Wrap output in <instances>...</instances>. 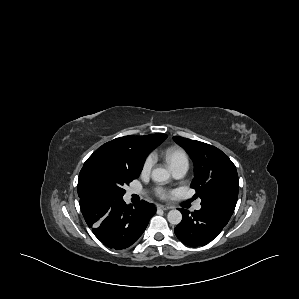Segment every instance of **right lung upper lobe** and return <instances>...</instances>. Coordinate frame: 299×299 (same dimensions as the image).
Wrapping results in <instances>:
<instances>
[{
  "mask_svg": "<svg viewBox=\"0 0 299 299\" xmlns=\"http://www.w3.org/2000/svg\"><path fill=\"white\" fill-rule=\"evenodd\" d=\"M166 138L167 135L161 133L145 136L130 135L116 138L100 148L109 152L125 166L142 170L147 155Z\"/></svg>",
  "mask_w": 299,
  "mask_h": 299,
  "instance_id": "obj_1",
  "label": "right lung upper lobe"
}]
</instances>
